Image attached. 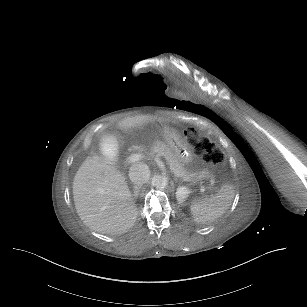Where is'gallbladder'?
Segmentation results:
<instances>
[{
	"label": "gallbladder",
	"instance_id": "gallbladder-1",
	"mask_svg": "<svg viewBox=\"0 0 307 307\" xmlns=\"http://www.w3.org/2000/svg\"><path fill=\"white\" fill-rule=\"evenodd\" d=\"M122 137L119 134H111L102 141L103 154L109 161H114L120 154V148L123 145Z\"/></svg>",
	"mask_w": 307,
	"mask_h": 307
}]
</instances>
